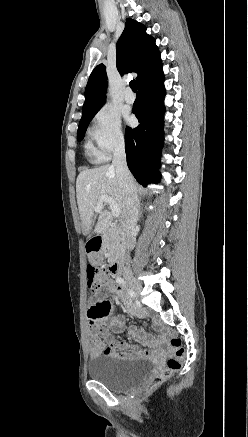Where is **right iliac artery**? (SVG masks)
Instances as JSON below:
<instances>
[{
  "instance_id": "82829eb1",
  "label": "right iliac artery",
  "mask_w": 248,
  "mask_h": 437,
  "mask_svg": "<svg viewBox=\"0 0 248 437\" xmlns=\"http://www.w3.org/2000/svg\"><path fill=\"white\" fill-rule=\"evenodd\" d=\"M116 281H117V283L121 284L122 286H124V287L127 289L128 294H129L132 298L134 297V294H135L134 291H133L132 289H130V288L127 287L126 282L124 281L123 278L118 277V278L116 279Z\"/></svg>"
}]
</instances>
